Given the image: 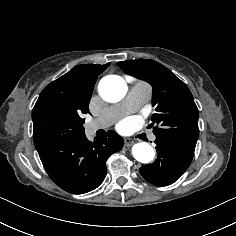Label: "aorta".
<instances>
[{
    "mask_svg": "<svg viewBox=\"0 0 236 236\" xmlns=\"http://www.w3.org/2000/svg\"><path fill=\"white\" fill-rule=\"evenodd\" d=\"M98 92L102 99L115 103L123 99L127 93V85L123 78L109 75L101 79ZM133 157L141 163H150L155 157V151L146 142H139L132 147Z\"/></svg>",
    "mask_w": 236,
    "mask_h": 236,
    "instance_id": "obj_1",
    "label": "aorta"
}]
</instances>
